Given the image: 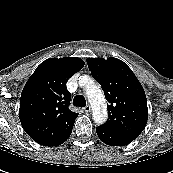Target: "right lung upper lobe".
Segmentation results:
<instances>
[{"label": "right lung upper lobe", "mask_w": 173, "mask_h": 173, "mask_svg": "<svg viewBox=\"0 0 173 173\" xmlns=\"http://www.w3.org/2000/svg\"><path fill=\"white\" fill-rule=\"evenodd\" d=\"M84 64L77 57L47 59L25 84L20 99V121L26 133L37 143H51L74 125L77 113L68 108L71 94L66 83Z\"/></svg>", "instance_id": "1"}]
</instances>
